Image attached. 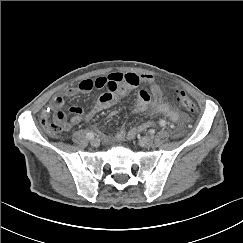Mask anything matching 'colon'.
<instances>
[{
    "label": "colon",
    "mask_w": 243,
    "mask_h": 243,
    "mask_svg": "<svg viewBox=\"0 0 243 243\" xmlns=\"http://www.w3.org/2000/svg\"><path fill=\"white\" fill-rule=\"evenodd\" d=\"M178 104L186 111L193 112L196 110L194 102L182 90L175 91ZM41 124L51 134L58 135L66 131V120L62 112L57 111L53 116L51 113L43 114Z\"/></svg>",
    "instance_id": "5ec220e1"
}]
</instances>
